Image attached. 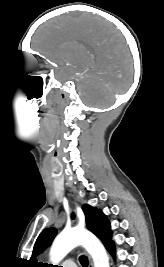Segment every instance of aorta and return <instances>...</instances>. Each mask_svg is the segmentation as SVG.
Here are the masks:
<instances>
[{
  "mask_svg": "<svg viewBox=\"0 0 164 267\" xmlns=\"http://www.w3.org/2000/svg\"><path fill=\"white\" fill-rule=\"evenodd\" d=\"M83 246L91 255L94 267H109V257L100 240L86 230L63 231L54 240L50 260L59 263L73 248Z\"/></svg>",
  "mask_w": 164,
  "mask_h": 267,
  "instance_id": "aorta-1",
  "label": "aorta"
}]
</instances>
